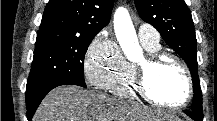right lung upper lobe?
<instances>
[{"instance_id": "right-lung-upper-lobe-1", "label": "right lung upper lobe", "mask_w": 217, "mask_h": 121, "mask_svg": "<svg viewBox=\"0 0 217 121\" xmlns=\"http://www.w3.org/2000/svg\"><path fill=\"white\" fill-rule=\"evenodd\" d=\"M114 0H49L39 30L96 35L110 21Z\"/></svg>"}]
</instances>
